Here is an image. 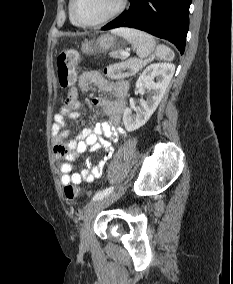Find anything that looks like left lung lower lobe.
<instances>
[{"mask_svg":"<svg viewBox=\"0 0 233 284\" xmlns=\"http://www.w3.org/2000/svg\"><path fill=\"white\" fill-rule=\"evenodd\" d=\"M191 0H131L130 7L102 30L130 27L172 42L184 53Z\"/></svg>","mask_w":233,"mask_h":284,"instance_id":"obj_1","label":"left lung lower lobe"}]
</instances>
